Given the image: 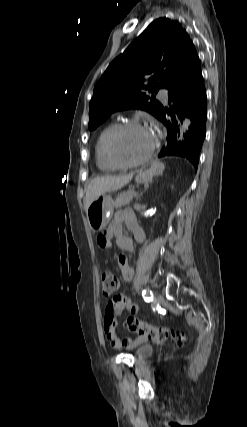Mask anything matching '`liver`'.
<instances>
[{
  "label": "liver",
  "mask_w": 247,
  "mask_h": 427,
  "mask_svg": "<svg viewBox=\"0 0 247 427\" xmlns=\"http://www.w3.org/2000/svg\"><path fill=\"white\" fill-rule=\"evenodd\" d=\"M132 178V173L123 176H103L94 178L87 187L85 209L87 210L90 204L101 194L122 188L129 183Z\"/></svg>",
  "instance_id": "1"
}]
</instances>
